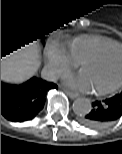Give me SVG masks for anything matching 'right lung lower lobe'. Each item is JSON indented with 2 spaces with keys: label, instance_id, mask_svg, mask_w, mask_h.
Returning a JSON list of instances; mask_svg holds the SVG:
<instances>
[{
  "label": "right lung lower lobe",
  "instance_id": "98d812e1",
  "mask_svg": "<svg viewBox=\"0 0 122 154\" xmlns=\"http://www.w3.org/2000/svg\"><path fill=\"white\" fill-rule=\"evenodd\" d=\"M52 88L58 87L35 77L20 85L1 82V114L14 122L33 119L43 109L46 93Z\"/></svg>",
  "mask_w": 122,
  "mask_h": 154
}]
</instances>
